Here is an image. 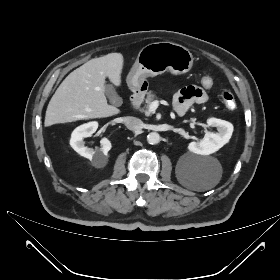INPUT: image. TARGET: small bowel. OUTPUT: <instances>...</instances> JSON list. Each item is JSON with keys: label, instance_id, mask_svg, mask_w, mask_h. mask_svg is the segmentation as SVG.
I'll return each mask as SVG.
<instances>
[{"label": "small bowel", "instance_id": "1", "mask_svg": "<svg viewBox=\"0 0 280 280\" xmlns=\"http://www.w3.org/2000/svg\"><path fill=\"white\" fill-rule=\"evenodd\" d=\"M208 99L209 96L206 90L200 87L189 86L175 95L174 109L178 114L182 115L194 104H204Z\"/></svg>", "mask_w": 280, "mask_h": 280}]
</instances>
